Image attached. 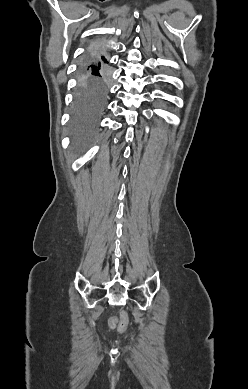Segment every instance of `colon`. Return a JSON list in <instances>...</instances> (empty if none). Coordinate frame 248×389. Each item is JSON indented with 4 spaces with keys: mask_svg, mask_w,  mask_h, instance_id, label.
Wrapping results in <instances>:
<instances>
[{
    "mask_svg": "<svg viewBox=\"0 0 248 389\" xmlns=\"http://www.w3.org/2000/svg\"><path fill=\"white\" fill-rule=\"evenodd\" d=\"M129 326V316L125 309L120 311V321H119V330L122 333H126L128 331Z\"/></svg>",
    "mask_w": 248,
    "mask_h": 389,
    "instance_id": "obj_1",
    "label": "colon"
}]
</instances>
